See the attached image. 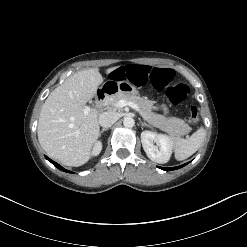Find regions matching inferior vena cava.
Wrapping results in <instances>:
<instances>
[{"instance_id": "inferior-vena-cava-1", "label": "inferior vena cava", "mask_w": 247, "mask_h": 247, "mask_svg": "<svg viewBox=\"0 0 247 247\" xmlns=\"http://www.w3.org/2000/svg\"><path fill=\"white\" fill-rule=\"evenodd\" d=\"M117 119L118 117L114 112H104L99 116V124L104 128H108L111 127Z\"/></svg>"}]
</instances>
